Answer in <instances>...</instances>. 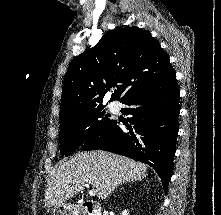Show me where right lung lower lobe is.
I'll return each mask as SVG.
<instances>
[{
    "instance_id": "1",
    "label": "right lung lower lobe",
    "mask_w": 221,
    "mask_h": 215,
    "mask_svg": "<svg viewBox=\"0 0 221 215\" xmlns=\"http://www.w3.org/2000/svg\"><path fill=\"white\" fill-rule=\"evenodd\" d=\"M179 88L171 69L147 88L129 96L122 103L130 106L121 112L130 115L128 130L112 120L89 136L83 149H101L152 166L163 181L165 192L173 172L179 115Z\"/></svg>"
}]
</instances>
